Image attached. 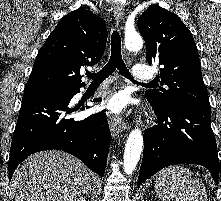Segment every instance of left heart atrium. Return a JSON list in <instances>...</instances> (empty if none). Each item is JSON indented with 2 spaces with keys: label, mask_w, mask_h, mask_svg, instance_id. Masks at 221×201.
Here are the masks:
<instances>
[{
  "label": "left heart atrium",
  "mask_w": 221,
  "mask_h": 201,
  "mask_svg": "<svg viewBox=\"0 0 221 201\" xmlns=\"http://www.w3.org/2000/svg\"><path fill=\"white\" fill-rule=\"evenodd\" d=\"M126 106V97L122 93L111 96L105 103L104 107L112 113L121 112Z\"/></svg>",
  "instance_id": "1"
}]
</instances>
